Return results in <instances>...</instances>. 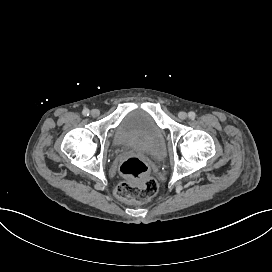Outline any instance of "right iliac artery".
<instances>
[{
	"mask_svg": "<svg viewBox=\"0 0 272 272\" xmlns=\"http://www.w3.org/2000/svg\"><path fill=\"white\" fill-rule=\"evenodd\" d=\"M82 113H83L84 116H89V114H90V112H89L88 109H84V110L82 111Z\"/></svg>",
	"mask_w": 272,
	"mask_h": 272,
	"instance_id": "obj_1",
	"label": "right iliac artery"
}]
</instances>
